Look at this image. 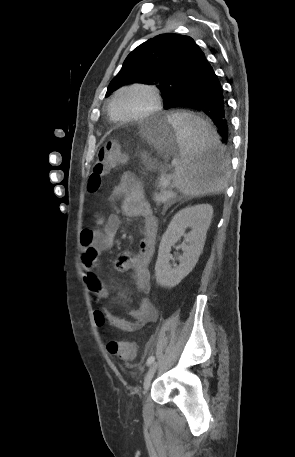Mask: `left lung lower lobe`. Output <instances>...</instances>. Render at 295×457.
I'll return each mask as SVG.
<instances>
[{"label": "left lung lower lobe", "mask_w": 295, "mask_h": 457, "mask_svg": "<svg viewBox=\"0 0 295 457\" xmlns=\"http://www.w3.org/2000/svg\"><path fill=\"white\" fill-rule=\"evenodd\" d=\"M188 77L186 87L166 105V109L186 107L206 114L217 126L222 144L228 146L230 123L222 87L202 51L191 65Z\"/></svg>", "instance_id": "0a47b994"}]
</instances>
